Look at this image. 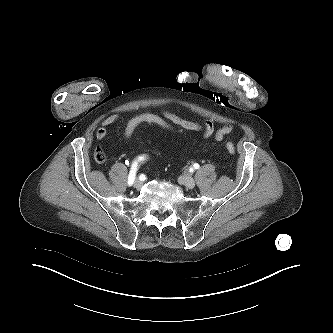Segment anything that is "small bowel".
<instances>
[{
	"mask_svg": "<svg viewBox=\"0 0 333 333\" xmlns=\"http://www.w3.org/2000/svg\"><path fill=\"white\" fill-rule=\"evenodd\" d=\"M161 115L170 121L175 126H178L187 131H203V137L205 140L214 137L217 141L221 142L224 138L233 131L231 125H225L216 130L212 120L206 119L203 121H192L182 118L175 113L164 111ZM120 116L118 114L110 115L106 117L101 126L96 131V137L100 141H104L107 135V127L118 122Z\"/></svg>",
	"mask_w": 333,
	"mask_h": 333,
	"instance_id": "c3829d8e",
	"label": "small bowel"
}]
</instances>
